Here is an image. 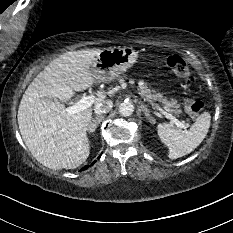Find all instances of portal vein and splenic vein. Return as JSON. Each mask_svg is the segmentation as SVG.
Returning <instances> with one entry per match:
<instances>
[{"label": "portal vein and splenic vein", "mask_w": 233, "mask_h": 233, "mask_svg": "<svg viewBox=\"0 0 233 233\" xmlns=\"http://www.w3.org/2000/svg\"><path fill=\"white\" fill-rule=\"evenodd\" d=\"M94 100V96H82L81 99L74 105L65 108V112L68 115L78 113L81 110L91 107L94 103ZM158 110L162 112V114L165 115L166 118L170 119L172 124H175L177 127L180 128L184 127V125L178 119H176L171 113H168L165 109L158 107Z\"/></svg>", "instance_id": "1"}]
</instances>
